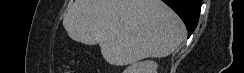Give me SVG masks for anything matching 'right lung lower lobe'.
Listing matches in <instances>:
<instances>
[{
  "label": "right lung lower lobe",
  "mask_w": 244,
  "mask_h": 73,
  "mask_svg": "<svg viewBox=\"0 0 244 73\" xmlns=\"http://www.w3.org/2000/svg\"><path fill=\"white\" fill-rule=\"evenodd\" d=\"M183 20L188 30V37L195 30L201 7V0H162Z\"/></svg>",
  "instance_id": "1"
}]
</instances>
